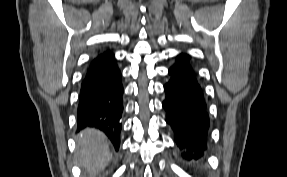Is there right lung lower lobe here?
Returning <instances> with one entry per match:
<instances>
[{"label": "right lung lower lobe", "mask_w": 287, "mask_h": 177, "mask_svg": "<svg viewBox=\"0 0 287 177\" xmlns=\"http://www.w3.org/2000/svg\"><path fill=\"white\" fill-rule=\"evenodd\" d=\"M123 86L114 54H98L81 83L77 108L78 129L94 127L103 131L116 150L120 145Z\"/></svg>", "instance_id": "98d812e1"}]
</instances>
